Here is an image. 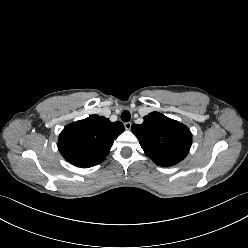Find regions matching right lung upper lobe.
<instances>
[{"label":"right lung upper lobe","mask_w":248,"mask_h":248,"mask_svg":"<svg viewBox=\"0 0 248 248\" xmlns=\"http://www.w3.org/2000/svg\"><path fill=\"white\" fill-rule=\"evenodd\" d=\"M124 131L121 122L91 115L68 124L60 133L58 149L76 167L89 168L100 164L108 155L114 140Z\"/></svg>","instance_id":"1"}]
</instances>
